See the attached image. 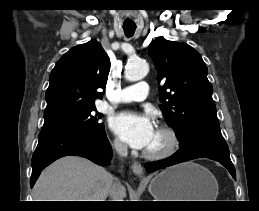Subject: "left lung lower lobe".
<instances>
[{
  "instance_id": "left-lung-lower-lobe-1",
  "label": "left lung lower lobe",
  "mask_w": 259,
  "mask_h": 211,
  "mask_svg": "<svg viewBox=\"0 0 259 211\" xmlns=\"http://www.w3.org/2000/svg\"><path fill=\"white\" fill-rule=\"evenodd\" d=\"M195 158H208L220 162L228 169L232 177L236 179L235 168L231 162L225 140L212 137H200L189 145L180 148L167 159L146 163L145 169L148 172H153Z\"/></svg>"
}]
</instances>
